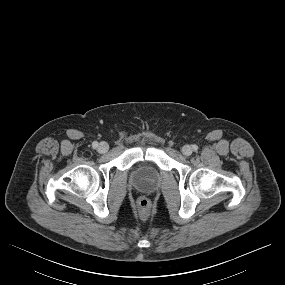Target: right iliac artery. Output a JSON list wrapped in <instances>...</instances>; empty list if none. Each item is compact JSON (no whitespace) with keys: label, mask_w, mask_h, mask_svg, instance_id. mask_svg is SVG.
Returning <instances> with one entry per match:
<instances>
[{"label":"right iliac artery","mask_w":285,"mask_h":285,"mask_svg":"<svg viewBox=\"0 0 285 285\" xmlns=\"http://www.w3.org/2000/svg\"><path fill=\"white\" fill-rule=\"evenodd\" d=\"M92 147H93L94 149L97 148V147H98V142L94 141V142L92 143Z\"/></svg>","instance_id":"obj_1"}]
</instances>
